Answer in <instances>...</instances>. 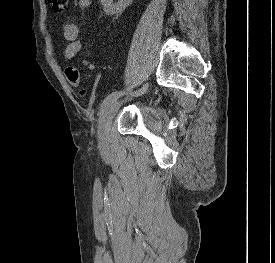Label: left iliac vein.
<instances>
[{"label":"left iliac vein","mask_w":275,"mask_h":263,"mask_svg":"<svg viewBox=\"0 0 275 263\" xmlns=\"http://www.w3.org/2000/svg\"><path fill=\"white\" fill-rule=\"evenodd\" d=\"M121 104L122 102L120 101H114L100 119L97 132L98 142L100 144H107L109 142L112 120Z\"/></svg>","instance_id":"obj_1"}]
</instances>
